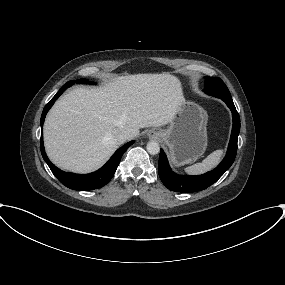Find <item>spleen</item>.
<instances>
[{
	"instance_id": "3e777b00",
	"label": "spleen",
	"mask_w": 285,
	"mask_h": 285,
	"mask_svg": "<svg viewBox=\"0 0 285 285\" xmlns=\"http://www.w3.org/2000/svg\"><path fill=\"white\" fill-rule=\"evenodd\" d=\"M222 155H223V150H216L211 154H209L201 163H196L185 168V171L189 174L204 173L214 168L219 163Z\"/></svg>"
}]
</instances>
